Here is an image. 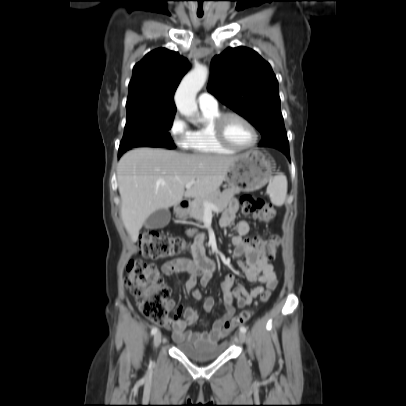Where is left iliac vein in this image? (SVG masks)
Returning <instances> with one entry per match:
<instances>
[{"label":"left iliac vein","instance_id":"4c4485c4","mask_svg":"<svg viewBox=\"0 0 406 406\" xmlns=\"http://www.w3.org/2000/svg\"><path fill=\"white\" fill-rule=\"evenodd\" d=\"M237 340L240 341L241 343L246 341V335L243 332H239L237 335Z\"/></svg>","mask_w":406,"mask_h":406}]
</instances>
